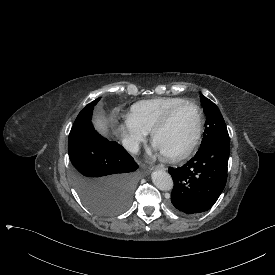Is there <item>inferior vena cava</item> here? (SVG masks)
<instances>
[{
    "label": "inferior vena cava",
    "instance_id": "obj_1",
    "mask_svg": "<svg viewBox=\"0 0 275 275\" xmlns=\"http://www.w3.org/2000/svg\"><path fill=\"white\" fill-rule=\"evenodd\" d=\"M122 143L123 147L131 153H137L139 151V143L136 140L124 139Z\"/></svg>",
    "mask_w": 275,
    "mask_h": 275
}]
</instances>
